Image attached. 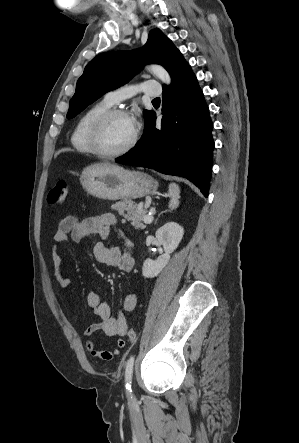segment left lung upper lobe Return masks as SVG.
Returning a JSON list of instances; mask_svg holds the SVG:
<instances>
[{"mask_svg":"<svg viewBox=\"0 0 299 443\" xmlns=\"http://www.w3.org/2000/svg\"><path fill=\"white\" fill-rule=\"evenodd\" d=\"M150 63L161 64L172 80L189 66L172 41L159 29H154L142 48L102 53L87 64L70 100L67 118H74L106 92L127 83ZM152 112L144 110L145 121Z\"/></svg>","mask_w":299,"mask_h":443,"instance_id":"obj_1","label":"left lung upper lobe"}]
</instances>
